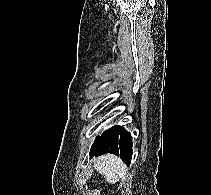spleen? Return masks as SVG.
Masks as SVG:
<instances>
[{
	"label": "spleen",
	"mask_w": 211,
	"mask_h": 195,
	"mask_svg": "<svg viewBox=\"0 0 211 195\" xmlns=\"http://www.w3.org/2000/svg\"><path fill=\"white\" fill-rule=\"evenodd\" d=\"M96 170L111 183L118 182L126 176V165L124 162L111 154H107L96 161Z\"/></svg>",
	"instance_id": "1"
}]
</instances>
